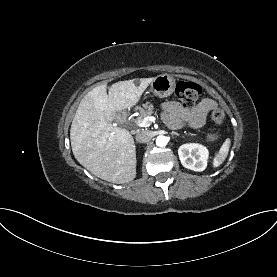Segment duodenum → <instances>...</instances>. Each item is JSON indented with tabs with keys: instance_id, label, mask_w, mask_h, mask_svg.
Instances as JSON below:
<instances>
[{
	"instance_id": "duodenum-1",
	"label": "duodenum",
	"mask_w": 277,
	"mask_h": 277,
	"mask_svg": "<svg viewBox=\"0 0 277 277\" xmlns=\"http://www.w3.org/2000/svg\"><path fill=\"white\" fill-rule=\"evenodd\" d=\"M126 118V113L125 112H119L117 114V119L120 121V122H123Z\"/></svg>"
}]
</instances>
